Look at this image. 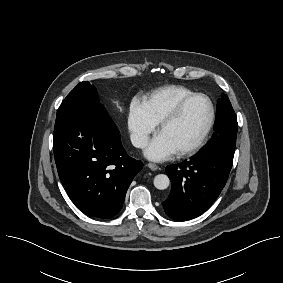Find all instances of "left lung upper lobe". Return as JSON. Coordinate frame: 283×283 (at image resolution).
<instances>
[{"label": "left lung upper lobe", "instance_id": "1", "mask_svg": "<svg viewBox=\"0 0 283 283\" xmlns=\"http://www.w3.org/2000/svg\"><path fill=\"white\" fill-rule=\"evenodd\" d=\"M238 123L235 112L227 95L217 102V115L214 133L211 140L204 147H220L234 153L236 145Z\"/></svg>", "mask_w": 283, "mask_h": 283}]
</instances>
